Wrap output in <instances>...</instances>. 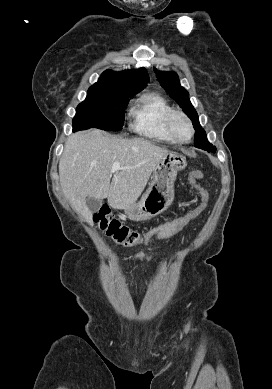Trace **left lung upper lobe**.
<instances>
[{
  "instance_id": "1",
  "label": "left lung upper lobe",
  "mask_w": 272,
  "mask_h": 389,
  "mask_svg": "<svg viewBox=\"0 0 272 389\" xmlns=\"http://www.w3.org/2000/svg\"><path fill=\"white\" fill-rule=\"evenodd\" d=\"M154 71L159 79L162 87L166 92L180 105L186 115L192 120L195 129V147L215 152L216 148L207 140V136L203 128L200 126L199 118L196 110L189 100V93L180 85L178 75L173 72H162L154 68Z\"/></svg>"
}]
</instances>
